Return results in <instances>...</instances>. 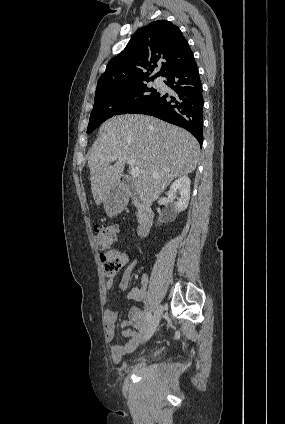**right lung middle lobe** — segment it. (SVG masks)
<instances>
[{"label": "right lung middle lobe", "mask_w": 285, "mask_h": 424, "mask_svg": "<svg viewBox=\"0 0 285 424\" xmlns=\"http://www.w3.org/2000/svg\"><path fill=\"white\" fill-rule=\"evenodd\" d=\"M144 81L113 85L96 90L87 133L94 131L110 117L129 113L151 99L157 90L148 88Z\"/></svg>", "instance_id": "1"}]
</instances>
